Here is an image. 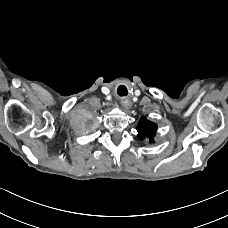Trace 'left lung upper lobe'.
<instances>
[{
    "mask_svg": "<svg viewBox=\"0 0 228 228\" xmlns=\"http://www.w3.org/2000/svg\"><path fill=\"white\" fill-rule=\"evenodd\" d=\"M157 130V125L151 121H148L145 117L141 118L138 125H137V131H138V138L143 140H150V142H153V138L155 136Z\"/></svg>",
    "mask_w": 228,
    "mask_h": 228,
    "instance_id": "5c2ea615",
    "label": "left lung upper lobe"
}]
</instances>
